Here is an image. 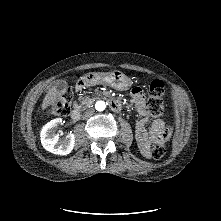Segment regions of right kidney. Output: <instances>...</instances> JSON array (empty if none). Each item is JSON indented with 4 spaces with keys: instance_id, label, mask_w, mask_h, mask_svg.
I'll use <instances>...</instances> for the list:
<instances>
[{
    "instance_id": "ca27d5eb",
    "label": "right kidney",
    "mask_w": 221,
    "mask_h": 221,
    "mask_svg": "<svg viewBox=\"0 0 221 221\" xmlns=\"http://www.w3.org/2000/svg\"><path fill=\"white\" fill-rule=\"evenodd\" d=\"M60 124H62L61 118L48 122L40 132L41 143L47 151L53 154L67 155L74 148L75 137L74 134H68L60 139L59 134L56 133Z\"/></svg>"
}]
</instances>
